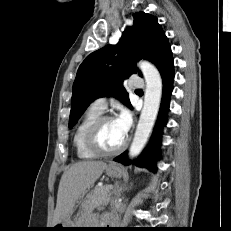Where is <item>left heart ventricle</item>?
Here are the masks:
<instances>
[{"mask_svg":"<svg viewBox=\"0 0 231 231\" xmlns=\"http://www.w3.org/2000/svg\"><path fill=\"white\" fill-rule=\"evenodd\" d=\"M125 138L126 136L121 133L115 120L105 122L99 132V143L107 150L119 147Z\"/></svg>","mask_w":231,"mask_h":231,"instance_id":"left-heart-ventricle-1","label":"left heart ventricle"}]
</instances>
